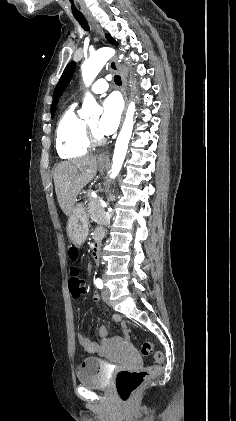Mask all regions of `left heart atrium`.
<instances>
[{"label":"left heart atrium","mask_w":236,"mask_h":421,"mask_svg":"<svg viewBox=\"0 0 236 421\" xmlns=\"http://www.w3.org/2000/svg\"><path fill=\"white\" fill-rule=\"evenodd\" d=\"M120 118V102L114 95H111L103 102V114L98 122V131L103 135H110L117 129Z\"/></svg>","instance_id":"left-heart-atrium-1"}]
</instances>
